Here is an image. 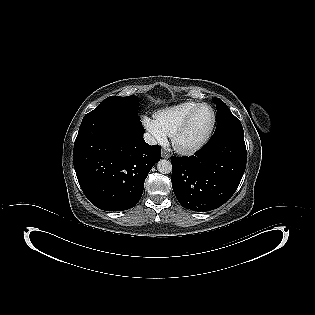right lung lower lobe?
<instances>
[{"label":"right lung lower lobe","mask_w":315,"mask_h":315,"mask_svg":"<svg viewBox=\"0 0 315 315\" xmlns=\"http://www.w3.org/2000/svg\"><path fill=\"white\" fill-rule=\"evenodd\" d=\"M139 116L94 109L85 115L74 144L78 182L88 200L105 211L134 207L144 181L161 158L159 145L143 139Z\"/></svg>","instance_id":"obj_1"}]
</instances>
